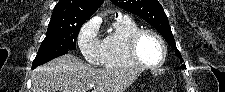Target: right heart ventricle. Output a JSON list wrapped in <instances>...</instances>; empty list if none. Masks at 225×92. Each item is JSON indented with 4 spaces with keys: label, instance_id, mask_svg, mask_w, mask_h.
<instances>
[{
    "label": "right heart ventricle",
    "instance_id": "e07e8e85",
    "mask_svg": "<svg viewBox=\"0 0 225 92\" xmlns=\"http://www.w3.org/2000/svg\"><path fill=\"white\" fill-rule=\"evenodd\" d=\"M140 29L134 19L118 15L112 23V30L102 40V63L109 69L137 68L128 51V40Z\"/></svg>",
    "mask_w": 225,
    "mask_h": 92
}]
</instances>
